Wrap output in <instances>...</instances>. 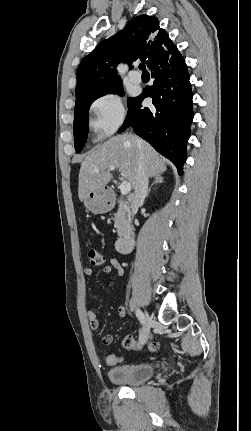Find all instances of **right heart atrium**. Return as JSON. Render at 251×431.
I'll use <instances>...</instances> for the list:
<instances>
[{
    "label": "right heart atrium",
    "mask_w": 251,
    "mask_h": 431,
    "mask_svg": "<svg viewBox=\"0 0 251 431\" xmlns=\"http://www.w3.org/2000/svg\"><path fill=\"white\" fill-rule=\"evenodd\" d=\"M89 114L90 126L99 137L116 132L126 118L123 101L114 93H104L95 98L90 104Z\"/></svg>",
    "instance_id": "d8ad5b80"
}]
</instances>
